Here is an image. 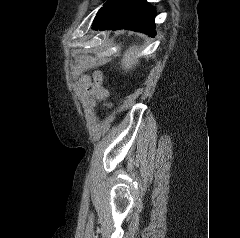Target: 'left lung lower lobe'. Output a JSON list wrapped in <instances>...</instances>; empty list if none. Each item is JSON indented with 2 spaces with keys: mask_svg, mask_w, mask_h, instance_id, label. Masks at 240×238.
I'll return each instance as SVG.
<instances>
[{
  "mask_svg": "<svg viewBox=\"0 0 240 238\" xmlns=\"http://www.w3.org/2000/svg\"><path fill=\"white\" fill-rule=\"evenodd\" d=\"M155 15V9L146 0H108L92 25L94 29H127L154 37Z\"/></svg>",
  "mask_w": 240,
  "mask_h": 238,
  "instance_id": "obj_1",
  "label": "left lung lower lobe"
}]
</instances>
